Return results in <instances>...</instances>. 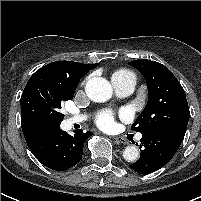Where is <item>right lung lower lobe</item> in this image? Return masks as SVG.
<instances>
[{"mask_svg": "<svg viewBox=\"0 0 201 201\" xmlns=\"http://www.w3.org/2000/svg\"><path fill=\"white\" fill-rule=\"evenodd\" d=\"M69 135L60 127L39 130L26 139L32 154L46 167L64 171L76 165L82 158L83 146L91 132L74 131Z\"/></svg>", "mask_w": 201, "mask_h": 201, "instance_id": "1", "label": "right lung lower lobe"}]
</instances>
